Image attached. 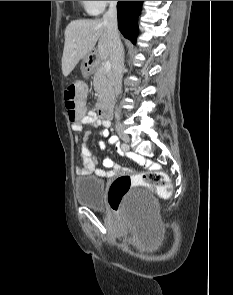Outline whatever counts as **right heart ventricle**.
Returning <instances> with one entry per match:
<instances>
[{"mask_svg":"<svg viewBox=\"0 0 233 295\" xmlns=\"http://www.w3.org/2000/svg\"><path fill=\"white\" fill-rule=\"evenodd\" d=\"M83 4H84V6H85V1H81Z\"/></svg>","mask_w":233,"mask_h":295,"instance_id":"1","label":"right heart ventricle"}]
</instances>
